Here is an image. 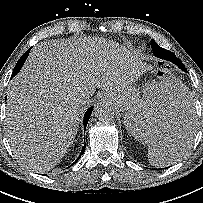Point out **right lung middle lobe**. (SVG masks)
<instances>
[{
	"label": "right lung middle lobe",
	"mask_w": 203,
	"mask_h": 203,
	"mask_svg": "<svg viewBox=\"0 0 203 203\" xmlns=\"http://www.w3.org/2000/svg\"><path fill=\"white\" fill-rule=\"evenodd\" d=\"M19 71H16V68H14L13 73H12V77L15 76Z\"/></svg>",
	"instance_id": "1"
}]
</instances>
